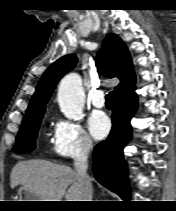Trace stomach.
<instances>
[{"mask_svg":"<svg viewBox=\"0 0 176 211\" xmlns=\"http://www.w3.org/2000/svg\"><path fill=\"white\" fill-rule=\"evenodd\" d=\"M17 194L19 196V201H41L38 199L36 194L25 188L24 186L19 187Z\"/></svg>","mask_w":176,"mask_h":211,"instance_id":"1","label":"stomach"}]
</instances>
